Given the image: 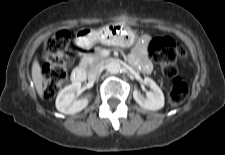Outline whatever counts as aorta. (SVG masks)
I'll list each match as a JSON object with an SVG mask.
<instances>
[{
  "label": "aorta",
  "instance_id": "aorta-1",
  "mask_svg": "<svg viewBox=\"0 0 225 155\" xmlns=\"http://www.w3.org/2000/svg\"><path fill=\"white\" fill-rule=\"evenodd\" d=\"M107 70L111 74H118L121 71V64L117 60H112L108 63Z\"/></svg>",
  "mask_w": 225,
  "mask_h": 155
}]
</instances>
